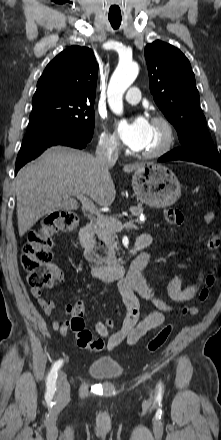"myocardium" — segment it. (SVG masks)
I'll return each instance as SVG.
<instances>
[{"mask_svg": "<svg viewBox=\"0 0 221 440\" xmlns=\"http://www.w3.org/2000/svg\"><path fill=\"white\" fill-rule=\"evenodd\" d=\"M151 123L158 125L164 131V139L162 143L155 149L142 151L140 155L144 158L152 159L159 158L167 154L175 143V131L171 122L162 115L154 116Z\"/></svg>", "mask_w": 221, "mask_h": 440, "instance_id": "1", "label": "myocardium"}]
</instances>
